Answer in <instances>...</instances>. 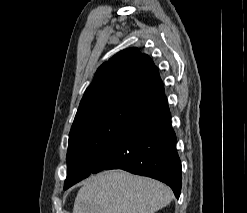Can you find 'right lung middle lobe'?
<instances>
[{
	"instance_id": "right-lung-middle-lobe-1",
	"label": "right lung middle lobe",
	"mask_w": 247,
	"mask_h": 213,
	"mask_svg": "<svg viewBox=\"0 0 247 213\" xmlns=\"http://www.w3.org/2000/svg\"><path fill=\"white\" fill-rule=\"evenodd\" d=\"M130 105L118 104L71 128L64 190L94 172L100 153L114 141L129 116Z\"/></svg>"
}]
</instances>
